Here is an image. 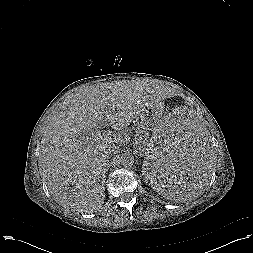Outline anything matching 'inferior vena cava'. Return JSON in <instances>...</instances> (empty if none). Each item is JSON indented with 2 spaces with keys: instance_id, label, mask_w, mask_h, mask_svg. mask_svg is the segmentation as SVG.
<instances>
[{
  "instance_id": "602c4592",
  "label": "inferior vena cava",
  "mask_w": 253,
  "mask_h": 253,
  "mask_svg": "<svg viewBox=\"0 0 253 253\" xmlns=\"http://www.w3.org/2000/svg\"><path fill=\"white\" fill-rule=\"evenodd\" d=\"M115 151H116V146L114 144L110 145L109 150L106 152V156H105L106 159H108L110 157V155H112V153Z\"/></svg>"
}]
</instances>
